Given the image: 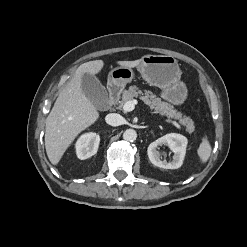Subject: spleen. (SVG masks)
<instances>
[{
	"label": "spleen",
	"mask_w": 247,
	"mask_h": 247,
	"mask_svg": "<svg viewBox=\"0 0 247 247\" xmlns=\"http://www.w3.org/2000/svg\"><path fill=\"white\" fill-rule=\"evenodd\" d=\"M210 154H211V145L207 136H204L197 150V155L199 157L200 162L206 163L210 157Z\"/></svg>",
	"instance_id": "spleen-1"
}]
</instances>
